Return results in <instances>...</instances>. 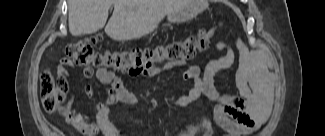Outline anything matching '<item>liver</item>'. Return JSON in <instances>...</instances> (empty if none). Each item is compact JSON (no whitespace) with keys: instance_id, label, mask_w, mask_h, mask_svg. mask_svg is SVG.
I'll return each mask as SVG.
<instances>
[{"instance_id":"liver-1","label":"liver","mask_w":325,"mask_h":136,"mask_svg":"<svg viewBox=\"0 0 325 136\" xmlns=\"http://www.w3.org/2000/svg\"><path fill=\"white\" fill-rule=\"evenodd\" d=\"M189 3V0H69V32L73 36L97 32L105 26L109 8L114 5L106 34L116 41L139 39L153 32L166 15L184 9Z\"/></svg>"}]
</instances>
